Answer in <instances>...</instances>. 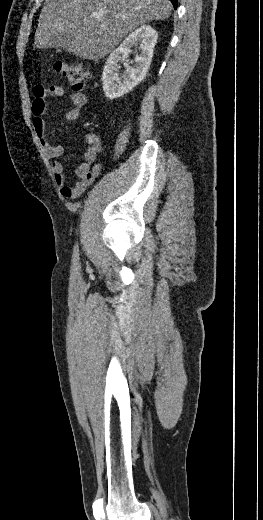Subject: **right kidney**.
Segmentation results:
<instances>
[{
	"label": "right kidney",
	"instance_id": "obj_1",
	"mask_svg": "<svg viewBox=\"0 0 263 520\" xmlns=\"http://www.w3.org/2000/svg\"><path fill=\"white\" fill-rule=\"evenodd\" d=\"M158 33L149 25H143L120 44L108 57L102 73L105 96L110 100L122 97L137 86L146 76L153 57ZM140 46V54L134 59L135 67L125 66L124 75L119 78V63L127 61L131 48Z\"/></svg>",
	"mask_w": 263,
	"mask_h": 520
}]
</instances>
